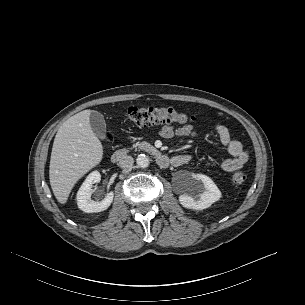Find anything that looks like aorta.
Returning <instances> with one entry per match:
<instances>
[{
	"mask_svg": "<svg viewBox=\"0 0 305 305\" xmlns=\"http://www.w3.org/2000/svg\"><path fill=\"white\" fill-rule=\"evenodd\" d=\"M136 163L139 167L141 168H146L149 166L150 164V159L147 155L145 154H140L138 155L137 159H136Z\"/></svg>",
	"mask_w": 305,
	"mask_h": 305,
	"instance_id": "762f6f07",
	"label": "aorta"
}]
</instances>
